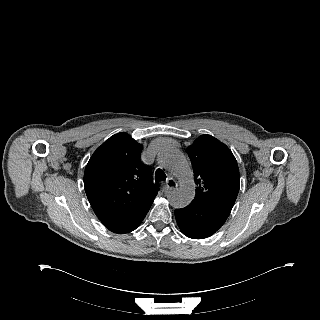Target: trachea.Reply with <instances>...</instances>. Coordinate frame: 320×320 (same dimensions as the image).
<instances>
[{
    "label": "trachea",
    "instance_id": "3493384b",
    "mask_svg": "<svg viewBox=\"0 0 320 320\" xmlns=\"http://www.w3.org/2000/svg\"><path fill=\"white\" fill-rule=\"evenodd\" d=\"M166 180V174L162 169H157L155 172V181H164Z\"/></svg>",
    "mask_w": 320,
    "mask_h": 320
}]
</instances>
